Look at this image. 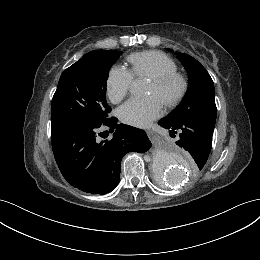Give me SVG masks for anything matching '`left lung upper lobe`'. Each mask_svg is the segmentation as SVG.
<instances>
[{
  "mask_svg": "<svg viewBox=\"0 0 260 260\" xmlns=\"http://www.w3.org/2000/svg\"><path fill=\"white\" fill-rule=\"evenodd\" d=\"M172 51L171 49H168ZM189 76V88L182 102L167 115L174 122L196 118L215 126L217 108L214 99V83L207 70L193 57L178 52Z\"/></svg>",
  "mask_w": 260,
  "mask_h": 260,
  "instance_id": "left-lung-upper-lobe-1",
  "label": "left lung upper lobe"
}]
</instances>
